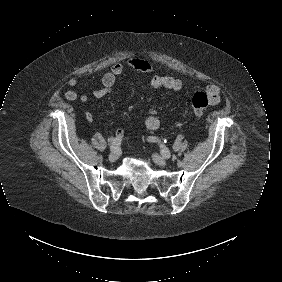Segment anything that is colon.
<instances>
[{"label":"colon","instance_id":"colon-1","mask_svg":"<svg viewBox=\"0 0 282 282\" xmlns=\"http://www.w3.org/2000/svg\"><path fill=\"white\" fill-rule=\"evenodd\" d=\"M214 100L210 99L207 93L197 92L192 97V108L193 112L197 115L202 114L208 105Z\"/></svg>","mask_w":282,"mask_h":282}]
</instances>
